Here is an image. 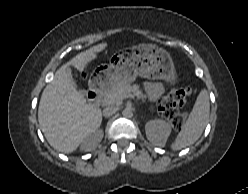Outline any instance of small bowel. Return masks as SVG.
Listing matches in <instances>:
<instances>
[{
    "label": "small bowel",
    "instance_id": "1",
    "mask_svg": "<svg viewBox=\"0 0 248 194\" xmlns=\"http://www.w3.org/2000/svg\"><path fill=\"white\" fill-rule=\"evenodd\" d=\"M144 88L151 100H157L164 93V87L161 83L147 82Z\"/></svg>",
    "mask_w": 248,
    "mask_h": 194
}]
</instances>
